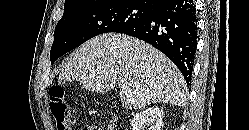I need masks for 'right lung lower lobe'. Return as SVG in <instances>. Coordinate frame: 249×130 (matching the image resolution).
I'll return each mask as SVG.
<instances>
[{"instance_id": "98d812e1", "label": "right lung lower lobe", "mask_w": 249, "mask_h": 130, "mask_svg": "<svg viewBox=\"0 0 249 130\" xmlns=\"http://www.w3.org/2000/svg\"><path fill=\"white\" fill-rule=\"evenodd\" d=\"M119 33L141 39L163 52L190 85L197 45V17L192 0H163L146 19Z\"/></svg>"}]
</instances>
